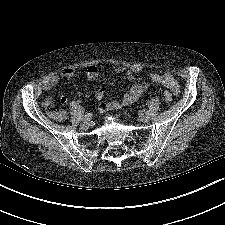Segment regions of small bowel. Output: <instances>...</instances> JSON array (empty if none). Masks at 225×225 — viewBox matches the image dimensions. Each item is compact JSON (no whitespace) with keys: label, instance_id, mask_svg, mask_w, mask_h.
<instances>
[{"label":"small bowel","instance_id":"c3829d8e","mask_svg":"<svg viewBox=\"0 0 225 225\" xmlns=\"http://www.w3.org/2000/svg\"><path fill=\"white\" fill-rule=\"evenodd\" d=\"M142 70L140 66H134L126 70L125 75L127 80L132 81L135 78V74L139 73ZM125 71V68L119 66L115 68L116 73H122ZM75 70L70 67L63 68L58 74L49 75L42 83V88L45 91L51 90L59 81L60 78L70 79L74 77ZM99 75V69L95 65H90L85 73V76L88 80H95ZM150 81L154 84L162 85L169 88L174 94H178L180 91V86L176 78L169 73H153L150 76ZM147 87V83H136L131 86V88L124 94L121 100H103L105 96V89L98 88L94 96L97 100L101 101L100 111L104 112L106 110H117L125 106H128L135 101H137L144 90ZM62 104L67 103V98L62 96L60 98ZM43 107L49 116L56 120H63L65 118V112L63 110H58L53 107V102L50 98H46L43 101ZM61 112L64 113L62 116Z\"/></svg>","mask_w":225,"mask_h":225}]
</instances>
